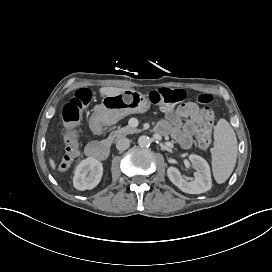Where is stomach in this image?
I'll return each instance as SVG.
<instances>
[{
  "mask_svg": "<svg viewBox=\"0 0 272 272\" xmlns=\"http://www.w3.org/2000/svg\"><path fill=\"white\" fill-rule=\"evenodd\" d=\"M101 106L117 118L130 113H142L149 108V100L143 94L133 89H126L122 93L106 95Z\"/></svg>",
  "mask_w": 272,
  "mask_h": 272,
  "instance_id": "stomach-1",
  "label": "stomach"
}]
</instances>
